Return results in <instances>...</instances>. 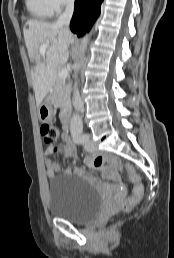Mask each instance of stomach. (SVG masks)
<instances>
[{"label":"stomach","instance_id":"stomach-1","mask_svg":"<svg viewBox=\"0 0 174 258\" xmlns=\"http://www.w3.org/2000/svg\"><path fill=\"white\" fill-rule=\"evenodd\" d=\"M39 119L43 122L49 121L53 117L52 98L48 95L38 108Z\"/></svg>","mask_w":174,"mask_h":258}]
</instances>
